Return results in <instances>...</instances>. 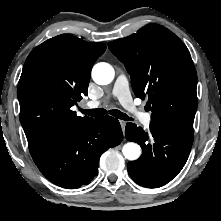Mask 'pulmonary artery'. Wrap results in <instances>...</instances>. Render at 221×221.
<instances>
[{"label":"pulmonary artery","mask_w":221,"mask_h":221,"mask_svg":"<svg viewBox=\"0 0 221 221\" xmlns=\"http://www.w3.org/2000/svg\"><path fill=\"white\" fill-rule=\"evenodd\" d=\"M112 94L119 100L120 104L133 113L143 125L148 126L150 124L151 115L149 113L142 112L134 104L129 91L128 80L125 75H119L117 77L113 86ZM99 104L100 101L92 100L87 103V107L93 109L98 107Z\"/></svg>","instance_id":"e3ab8cb5"}]
</instances>
